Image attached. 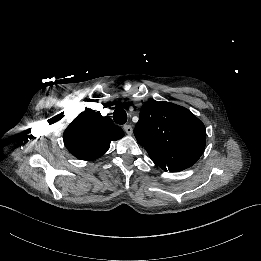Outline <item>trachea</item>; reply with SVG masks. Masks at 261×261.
<instances>
[{"mask_svg": "<svg viewBox=\"0 0 261 261\" xmlns=\"http://www.w3.org/2000/svg\"><path fill=\"white\" fill-rule=\"evenodd\" d=\"M113 119L117 124H125L128 117L124 109L117 108L113 113Z\"/></svg>", "mask_w": 261, "mask_h": 261, "instance_id": "obj_1", "label": "trachea"}]
</instances>
